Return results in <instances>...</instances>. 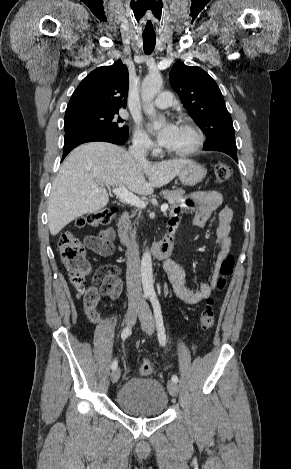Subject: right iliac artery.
Instances as JSON below:
<instances>
[{
  "mask_svg": "<svg viewBox=\"0 0 291 469\" xmlns=\"http://www.w3.org/2000/svg\"><path fill=\"white\" fill-rule=\"evenodd\" d=\"M131 333V328L130 327H126L122 333H121V338L122 340H125ZM117 365H118V362L117 360H113L112 364H111V368L114 370L117 368Z\"/></svg>",
  "mask_w": 291,
  "mask_h": 469,
  "instance_id": "obj_1",
  "label": "right iliac artery"
}]
</instances>
